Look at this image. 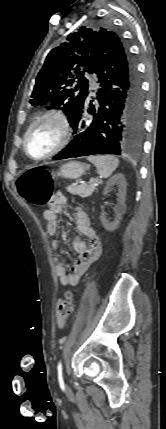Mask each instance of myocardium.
<instances>
[{"mask_svg":"<svg viewBox=\"0 0 166 429\" xmlns=\"http://www.w3.org/2000/svg\"><path fill=\"white\" fill-rule=\"evenodd\" d=\"M43 121H53L57 123L60 129V137L57 145L51 151H49L47 154L41 157H34L28 151L27 142L32 130ZM70 137H71V126H70L69 118L65 113V111L58 108L48 109L43 113H41L40 115H38L26 129L23 136V151L26 154V156L32 160H35V161L46 160L55 156L60 151H62L69 143Z\"/></svg>","mask_w":166,"mask_h":429,"instance_id":"1","label":"myocardium"}]
</instances>
